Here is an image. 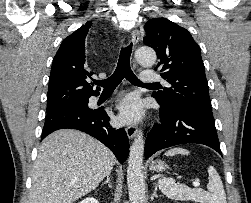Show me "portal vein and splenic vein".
<instances>
[{
  "label": "portal vein and splenic vein",
  "instance_id": "18ae733b",
  "mask_svg": "<svg viewBox=\"0 0 251 203\" xmlns=\"http://www.w3.org/2000/svg\"><path fill=\"white\" fill-rule=\"evenodd\" d=\"M193 186H194V187H199V186H200V183L197 182V181H195V182H193Z\"/></svg>",
  "mask_w": 251,
  "mask_h": 203
}]
</instances>
